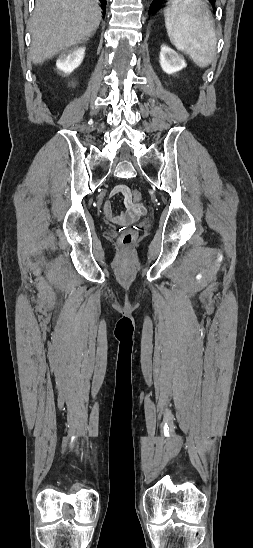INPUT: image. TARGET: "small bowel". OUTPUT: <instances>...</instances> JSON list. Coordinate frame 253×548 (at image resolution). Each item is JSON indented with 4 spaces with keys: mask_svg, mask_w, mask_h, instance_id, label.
I'll return each instance as SVG.
<instances>
[{
    "mask_svg": "<svg viewBox=\"0 0 253 548\" xmlns=\"http://www.w3.org/2000/svg\"><path fill=\"white\" fill-rule=\"evenodd\" d=\"M130 190L126 185H116L110 192V197L121 195L124 198V210L120 213H114L109 201L104 204V214L109 221L118 225H126L134 222L140 217L145 208L141 204H136L132 201Z\"/></svg>",
    "mask_w": 253,
    "mask_h": 548,
    "instance_id": "1",
    "label": "small bowel"
}]
</instances>
